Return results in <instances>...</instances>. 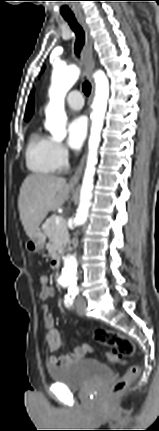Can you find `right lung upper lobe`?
Segmentation results:
<instances>
[{
  "label": "right lung upper lobe",
  "instance_id": "cb5924a9",
  "mask_svg": "<svg viewBox=\"0 0 159 431\" xmlns=\"http://www.w3.org/2000/svg\"><path fill=\"white\" fill-rule=\"evenodd\" d=\"M33 110H34V100H33V94L31 93L26 107V113L24 117L25 121H28L31 118L33 114Z\"/></svg>",
  "mask_w": 159,
  "mask_h": 431
}]
</instances>
